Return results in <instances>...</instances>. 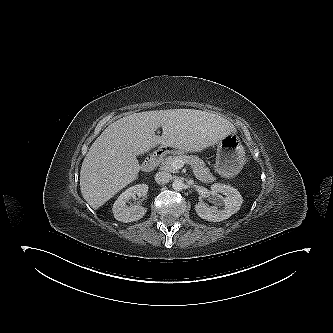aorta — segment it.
I'll return each mask as SVG.
<instances>
[{"mask_svg":"<svg viewBox=\"0 0 333 333\" xmlns=\"http://www.w3.org/2000/svg\"><path fill=\"white\" fill-rule=\"evenodd\" d=\"M184 182L180 179H175L172 183V188L176 191H181L182 189H184Z\"/></svg>","mask_w":333,"mask_h":333,"instance_id":"aorta-1","label":"aorta"}]
</instances>
